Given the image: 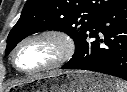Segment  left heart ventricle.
<instances>
[{"label":"left heart ventricle","mask_w":127,"mask_h":92,"mask_svg":"<svg viewBox=\"0 0 127 92\" xmlns=\"http://www.w3.org/2000/svg\"><path fill=\"white\" fill-rule=\"evenodd\" d=\"M59 53L60 47L54 40L35 39L20 48L16 62L23 70H34L53 62Z\"/></svg>","instance_id":"1"}]
</instances>
